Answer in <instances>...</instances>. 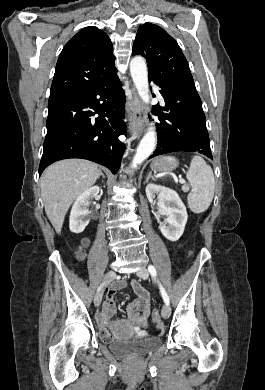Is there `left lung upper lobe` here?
Listing matches in <instances>:
<instances>
[{
	"label": "left lung upper lobe",
	"mask_w": 265,
	"mask_h": 390,
	"mask_svg": "<svg viewBox=\"0 0 265 390\" xmlns=\"http://www.w3.org/2000/svg\"><path fill=\"white\" fill-rule=\"evenodd\" d=\"M132 55L146 58L149 79L155 82L194 83L178 43L157 25L147 23L139 28Z\"/></svg>",
	"instance_id": "5c2ea615"
}]
</instances>
